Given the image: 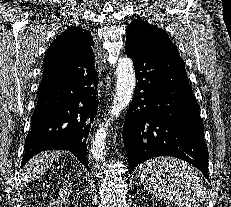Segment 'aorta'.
<instances>
[{
  "mask_svg": "<svg viewBox=\"0 0 231 207\" xmlns=\"http://www.w3.org/2000/svg\"><path fill=\"white\" fill-rule=\"evenodd\" d=\"M117 85L114 99L112 102L110 116L105 125L100 126L92 141L91 153L95 160L103 162L105 160V139L108 132L110 121L117 117L124 108H126L132 100L134 89L136 86V76L133 62L128 57L119 59L117 68Z\"/></svg>",
  "mask_w": 231,
  "mask_h": 207,
  "instance_id": "aorta-1",
  "label": "aorta"
}]
</instances>
